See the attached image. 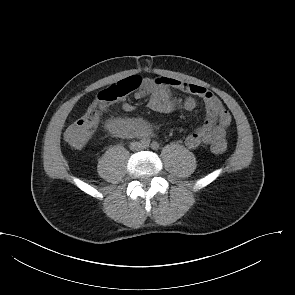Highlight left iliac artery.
I'll return each mask as SVG.
<instances>
[{"label":"left iliac artery","mask_w":295,"mask_h":295,"mask_svg":"<svg viewBox=\"0 0 295 295\" xmlns=\"http://www.w3.org/2000/svg\"><path fill=\"white\" fill-rule=\"evenodd\" d=\"M151 148H152L153 150H158V149L160 148V145H159L158 142L153 141V142L151 143Z\"/></svg>","instance_id":"obj_1"}]
</instances>
